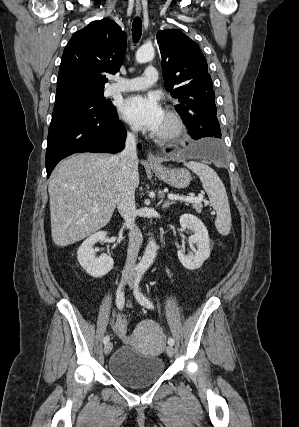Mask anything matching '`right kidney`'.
Segmentation results:
<instances>
[{
  "label": "right kidney",
  "instance_id": "right-kidney-1",
  "mask_svg": "<svg viewBox=\"0 0 299 427\" xmlns=\"http://www.w3.org/2000/svg\"><path fill=\"white\" fill-rule=\"evenodd\" d=\"M107 232L100 231L88 237L77 251V259L82 268L92 277L98 278L106 275L114 265L112 257L104 254L95 256L94 245L105 240Z\"/></svg>",
  "mask_w": 299,
  "mask_h": 427
}]
</instances>
